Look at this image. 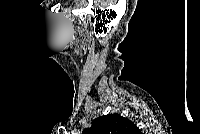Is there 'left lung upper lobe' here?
Returning a JSON list of instances; mask_svg holds the SVG:
<instances>
[{"mask_svg":"<svg viewBox=\"0 0 200 134\" xmlns=\"http://www.w3.org/2000/svg\"><path fill=\"white\" fill-rule=\"evenodd\" d=\"M84 134H141L139 128L125 117L108 114L93 120Z\"/></svg>","mask_w":200,"mask_h":134,"instance_id":"left-lung-upper-lobe-1","label":"left lung upper lobe"}]
</instances>
